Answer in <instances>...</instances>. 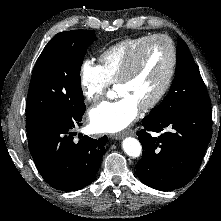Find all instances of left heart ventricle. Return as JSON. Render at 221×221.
<instances>
[{"label": "left heart ventricle", "mask_w": 221, "mask_h": 221, "mask_svg": "<svg viewBox=\"0 0 221 221\" xmlns=\"http://www.w3.org/2000/svg\"><path fill=\"white\" fill-rule=\"evenodd\" d=\"M170 48L166 41L157 40L145 49L133 78L117 86L120 96L131 97L141 107L161 88L170 66Z\"/></svg>", "instance_id": "obj_1"}]
</instances>
